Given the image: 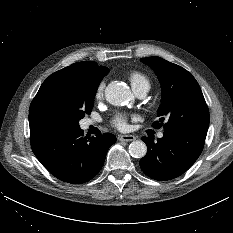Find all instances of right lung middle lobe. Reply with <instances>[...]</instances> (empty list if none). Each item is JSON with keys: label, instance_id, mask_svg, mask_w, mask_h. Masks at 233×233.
<instances>
[{"label": "right lung middle lobe", "instance_id": "obj_1", "mask_svg": "<svg viewBox=\"0 0 233 233\" xmlns=\"http://www.w3.org/2000/svg\"><path fill=\"white\" fill-rule=\"evenodd\" d=\"M100 81L57 71L43 82L30 111L43 126L79 128V120L92 111Z\"/></svg>", "mask_w": 233, "mask_h": 233}]
</instances>
